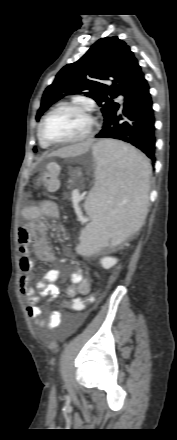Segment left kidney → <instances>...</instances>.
<instances>
[{"instance_id":"5707ae66","label":"left kidney","mask_w":177,"mask_h":440,"mask_svg":"<svg viewBox=\"0 0 177 440\" xmlns=\"http://www.w3.org/2000/svg\"><path fill=\"white\" fill-rule=\"evenodd\" d=\"M117 262H118V260L113 257H104L100 261L102 267L105 269H109V268L113 267Z\"/></svg>"}]
</instances>
